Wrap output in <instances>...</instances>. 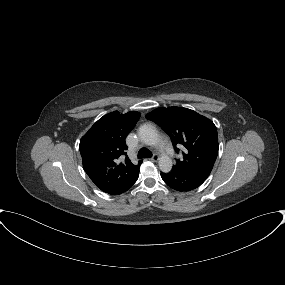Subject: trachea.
Returning <instances> with one entry per match:
<instances>
[{"label":"trachea","instance_id":"trachea-1","mask_svg":"<svg viewBox=\"0 0 285 285\" xmlns=\"http://www.w3.org/2000/svg\"><path fill=\"white\" fill-rule=\"evenodd\" d=\"M152 157V152L146 148H141L138 151V158H150Z\"/></svg>","mask_w":285,"mask_h":285}]
</instances>
